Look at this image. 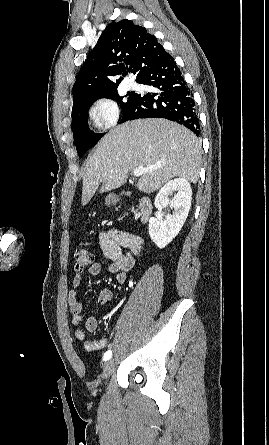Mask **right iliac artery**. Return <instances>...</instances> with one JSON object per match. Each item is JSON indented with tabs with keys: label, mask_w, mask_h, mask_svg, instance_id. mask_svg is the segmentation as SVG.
I'll list each match as a JSON object with an SVG mask.
<instances>
[{
	"label": "right iliac artery",
	"mask_w": 269,
	"mask_h": 445,
	"mask_svg": "<svg viewBox=\"0 0 269 445\" xmlns=\"http://www.w3.org/2000/svg\"><path fill=\"white\" fill-rule=\"evenodd\" d=\"M111 356H112V351H111V350H108V351H106V352L104 353L103 358H104L105 361H107V360H109V359L111 358Z\"/></svg>",
	"instance_id": "obj_1"
}]
</instances>
